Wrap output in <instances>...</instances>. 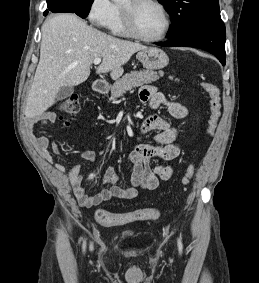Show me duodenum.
Instances as JSON below:
<instances>
[{
    "instance_id": "duodenum-1",
    "label": "duodenum",
    "mask_w": 259,
    "mask_h": 283,
    "mask_svg": "<svg viewBox=\"0 0 259 283\" xmlns=\"http://www.w3.org/2000/svg\"><path fill=\"white\" fill-rule=\"evenodd\" d=\"M94 91L98 94H105L108 91V84L102 80H96L93 84Z\"/></svg>"
}]
</instances>
